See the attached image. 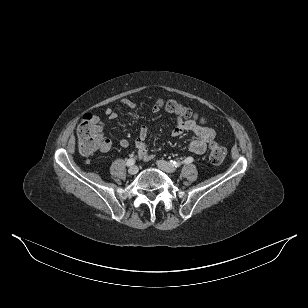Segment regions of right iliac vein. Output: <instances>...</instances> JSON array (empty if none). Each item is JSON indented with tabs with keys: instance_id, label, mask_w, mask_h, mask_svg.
Listing matches in <instances>:
<instances>
[{
	"instance_id": "63e3f726",
	"label": "right iliac vein",
	"mask_w": 308,
	"mask_h": 308,
	"mask_svg": "<svg viewBox=\"0 0 308 308\" xmlns=\"http://www.w3.org/2000/svg\"><path fill=\"white\" fill-rule=\"evenodd\" d=\"M138 167L137 166H131L129 169H128V173L130 175H135L138 173Z\"/></svg>"
}]
</instances>
